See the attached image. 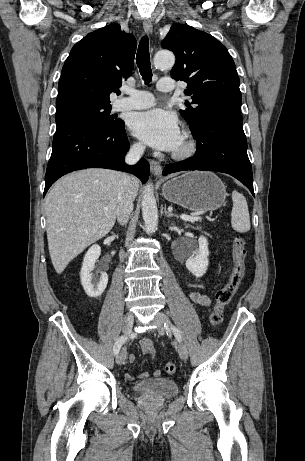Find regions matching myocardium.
Wrapping results in <instances>:
<instances>
[{
	"instance_id": "f54148a6",
	"label": "myocardium",
	"mask_w": 305,
	"mask_h": 461,
	"mask_svg": "<svg viewBox=\"0 0 305 461\" xmlns=\"http://www.w3.org/2000/svg\"><path fill=\"white\" fill-rule=\"evenodd\" d=\"M196 151V142L191 138L188 133H185L181 141L180 147H178L172 156L176 159H185L193 155Z\"/></svg>"
}]
</instances>
